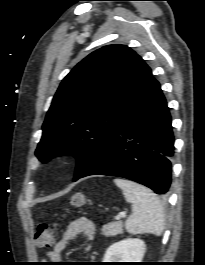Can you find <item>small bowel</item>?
<instances>
[{
	"mask_svg": "<svg viewBox=\"0 0 205 265\" xmlns=\"http://www.w3.org/2000/svg\"><path fill=\"white\" fill-rule=\"evenodd\" d=\"M94 235L95 227L89 219L82 217L73 220L67 225L62 238L56 242L52 250L47 252L45 259L50 262L59 261L69 242L78 236H82L86 240L85 250L89 251Z\"/></svg>",
	"mask_w": 205,
	"mask_h": 265,
	"instance_id": "1",
	"label": "small bowel"
}]
</instances>
